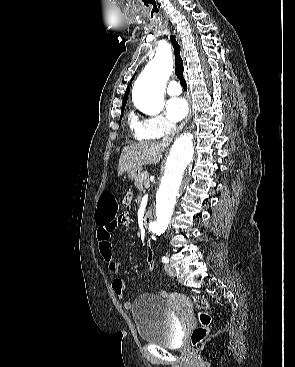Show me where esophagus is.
I'll use <instances>...</instances> for the list:
<instances>
[{
	"label": "esophagus",
	"mask_w": 295,
	"mask_h": 367,
	"mask_svg": "<svg viewBox=\"0 0 295 367\" xmlns=\"http://www.w3.org/2000/svg\"><path fill=\"white\" fill-rule=\"evenodd\" d=\"M176 38H177V41H178V43L181 45V40H180V38H179V36L176 34ZM190 118H191V110L189 111V114H188V116L186 117V119H185V121H184V124H187L188 123V121L190 120Z\"/></svg>",
	"instance_id": "esophagus-1"
}]
</instances>
